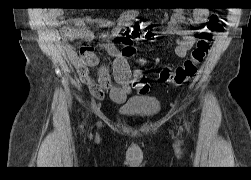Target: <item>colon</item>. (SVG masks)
<instances>
[{"mask_svg":"<svg viewBox=\"0 0 251 180\" xmlns=\"http://www.w3.org/2000/svg\"><path fill=\"white\" fill-rule=\"evenodd\" d=\"M219 20L216 16H212L208 22L210 28L217 29ZM157 34L144 26L143 23L135 22L127 28L120 36L122 44V55L125 58L134 56L135 49L133 43L135 41H150L157 39ZM210 48V37L205 33L198 35L197 43L191 55L180 65L176 67H163L159 74V79L165 84L181 86L189 79L194 77L197 72L198 65L203 61Z\"/></svg>","mask_w":251,"mask_h":180,"instance_id":"colon-1","label":"colon"}]
</instances>
